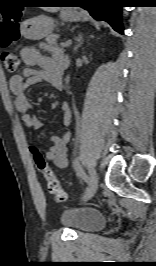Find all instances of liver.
<instances>
[{
	"label": "liver",
	"mask_w": 156,
	"mask_h": 266,
	"mask_svg": "<svg viewBox=\"0 0 156 266\" xmlns=\"http://www.w3.org/2000/svg\"><path fill=\"white\" fill-rule=\"evenodd\" d=\"M44 10L47 12L54 13L58 10V7H45Z\"/></svg>",
	"instance_id": "liver-1"
}]
</instances>
